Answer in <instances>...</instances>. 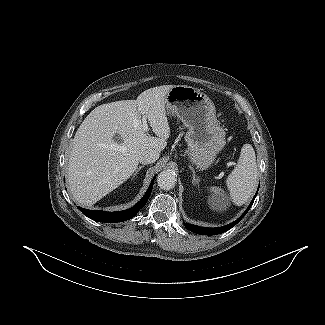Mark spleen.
I'll return each mask as SVG.
<instances>
[{"label": "spleen", "mask_w": 325, "mask_h": 325, "mask_svg": "<svg viewBox=\"0 0 325 325\" xmlns=\"http://www.w3.org/2000/svg\"><path fill=\"white\" fill-rule=\"evenodd\" d=\"M257 164L253 147L245 144L241 149L238 165L226 180L232 202L241 206L252 196L257 184ZM210 191L216 196L222 195V189L211 187Z\"/></svg>", "instance_id": "spleen-1"}]
</instances>
